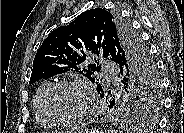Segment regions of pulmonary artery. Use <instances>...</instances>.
<instances>
[{"mask_svg":"<svg viewBox=\"0 0 184 133\" xmlns=\"http://www.w3.org/2000/svg\"><path fill=\"white\" fill-rule=\"evenodd\" d=\"M113 69V64L109 61H104L102 65V70L104 76L107 78L109 81L114 80V73L112 72Z\"/></svg>","mask_w":184,"mask_h":133,"instance_id":"obj_1","label":"pulmonary artery"}]
</instances>
